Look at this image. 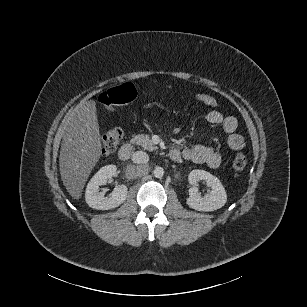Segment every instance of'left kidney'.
<instances>
[{
    "label": "left kidney",
    "mask_w": 307,
    "mask_h": 307,
    "mask_svg": "<svg viewBox=\"0 0 307 307\" xmlns=\"http://www.w3.org/2000/svg\"><path fill=\"white\" fill-rule=\"evenodd\" d=\"M203 180L211 192L204 197L198 191V182ZM188 181L192 185L189 189L187 204L198 211H214L223 207L227 201L225 189L219 179L204 170H192L188 175Z\"/></svg>",
    "instance_id": "obj_1"
}]
</instances>
